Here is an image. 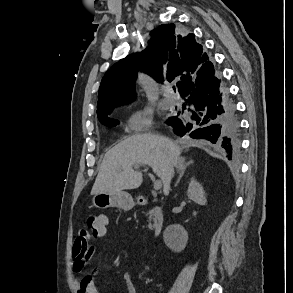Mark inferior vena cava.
<instances>
[{"label": "inferior vena cava", "instance_id": "1", "mask_svg": "<svg viewBox=\"0 0 293 293\" xmlns=\"http://www.w3.org/2000/svg\"><path fill=\"white\" fill-rule=\"evenodd\" d=\"M172 177H173V170L171 169L170 174L168 176V182L169 183L171 182Z\"/></svg>", "mask_w": 293, "mask_h": 293}]
</instances>
